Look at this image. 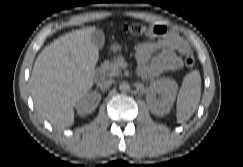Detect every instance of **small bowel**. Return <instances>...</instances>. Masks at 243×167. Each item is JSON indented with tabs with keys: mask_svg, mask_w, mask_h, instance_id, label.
Masks as SVG:
<instances>
[{
	"mask_svg": "<svg viewBox=\"0 0 243 167\" xmlns=\"http://www.w3.org/2000/svg\"><path fill=\"white\" fill-rule=\"evenodd\" d=\"M188 42L175 32H167L158 39L143 42L135 47L138 72L145 80H152L164 72L182 66V55L189 52Z\"/></svg>",
	"mask_w": 243,
	"mask_h": 167,
	"instance_id": "small-bowel-1",
	"label": "small bowel"
}]
</instances>
